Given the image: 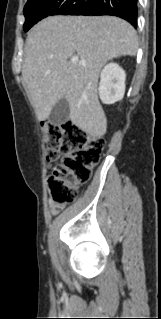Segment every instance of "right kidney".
Returning a JSON list of instances; mask_svg holds the SVG:
<instances>
[{
  "instance_id": "1",
  "label": "right kidney",
  "mask_w": 161,
  "mask_h": 319,
  "mask_svg": "<svg viewBox=\"0 0 161 319\" xmlns=\"http://www.w3.org/2000/svg\"><path fill=\"white\" fill-rule=\"evenodd\" d=\"M99 95L104 104L122 100L125 93V71L116 63H109L100 74Z\"/></svg>"
}]
</instances>
